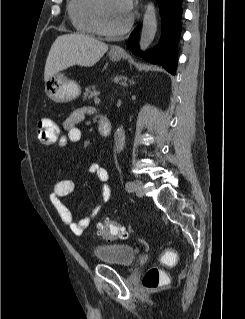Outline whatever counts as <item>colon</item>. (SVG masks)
Listing matches in <instances>:
<instances>
[{
	"mask_svg": "<svg viewBox=\"0 0 245 319\" xmlns=\"http://www.w3.org/2000/svg\"><path fill=\"white\" fill-rule=\"evenodd\" d=\"M60 133L58 125L49 118L40 119L36 125V138L42 145H52L56 142ZM96 234L106 240L116 238H127L128 230L122 224L104 219L96 224ZM168 259V257H166ZM165 283V277L158 268H151L147 271L143 285L147 289H156Z\"/></svg>",
	"mask_w": 245,
	"mask_h": 319,
	"instance_id": "5ec220e1",
	"label": "colon"
}]
</instances>
